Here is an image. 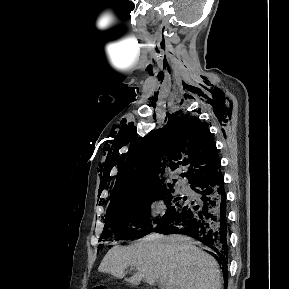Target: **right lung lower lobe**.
Listing matches in <instances>:
<instances>
[{
    "label": "right lung lower lobe",
    "mask_w": 289,
    "mask_h": 289,
    "mask_svg": "<svg viewBox=\"0 0 289 289\" xmlns=\"http://www.w3.org/2000/svg\"><path fill=\"white\" fill-rule=\"evenodd\" d=\"M192 187L198 193V199L185 203L181 210L157 224L151 232L189 235L210 248L222 267L226 285L229 223L221 171L200 178Z\"/></svg>",
    "instance_id": "right-lung-lower-lobe-1"
}]
</instances>
